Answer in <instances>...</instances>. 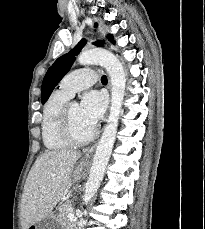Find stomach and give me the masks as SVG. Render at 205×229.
<instances>
[{
    "label": "stomach",
    "instance_id": "stomach-1",
    "mask_svg": "<svg viewBox=\"0 0 205 229\" xmlns=\"http://www.w3.org/2000/svg\"><path fill=\"white\" fill-rule=\"evenodd\" d=\"M85 166L86 164L84 162L77 166L73 173V178L75 180L80 179L84 175ZM28 229H62V226L58 221L57 215L51 212L41 221L32 224Z\"/></svg>",
    "mask_w": 205,
    "mask_h": 229
}]
</instances>
